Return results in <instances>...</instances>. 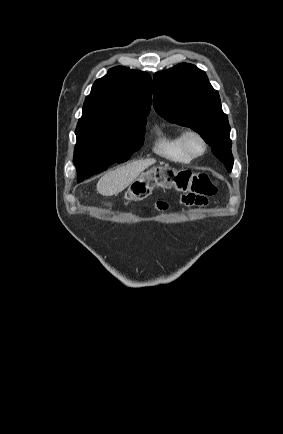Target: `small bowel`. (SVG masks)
Masks as SVG:
<instances>
[{
	"label": "small bowel",
	"instance_id": "c3829d8e",
	"mask_svg": "<svg viewBox=\"0 0 283 434\" xmlns=\"http://www.w3.org/2000/svg\"><path fill=\"white\" fill-rule=\"evenodd\" d=\"M182 202L189 206H203L207 204L206 197L199 196L193 193H186L182 196ZM167 203L164 201H157L155 204V208L157 210H166L167 209Z\"/></svg>",
	"mask_w": 283,
	"mask_h": 434
}]
</instances>
